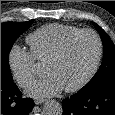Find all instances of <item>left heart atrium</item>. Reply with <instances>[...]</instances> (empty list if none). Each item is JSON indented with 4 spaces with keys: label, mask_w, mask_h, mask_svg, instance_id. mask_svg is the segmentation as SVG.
I'll list each match as a JSON object with an SVG mask.
<instances>
[{
    "label": "left heart atrium",
    "mask_w": 115,
    "mask_h": 115,
    "mask_svg": "<svg viewBox=\"0 0 115 115\" xmlns=\"http://www.w3.org/2000/svg\"><path fill=\"white\" fill-rule=\"evenodd\" d=\"M63 89L62 84L53 75L46 74L30 86L28 94L33 97L54 96Z\"/></svg>",
    "instance_id": "left-heart-atrium-1"
}]
</instances>
